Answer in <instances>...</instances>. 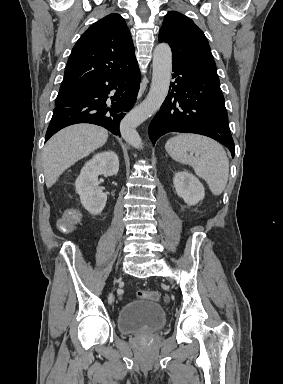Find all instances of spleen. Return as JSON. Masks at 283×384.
<instances>
[{
  "label": "spleen",
  "mask_w": 283,
  "mask_h": 384,
  "mask_svg": "<svg viewBox=\"0 0 283 384\" xmlns=\"http://www.w3.org/2000/svg\"><path fill=\"white\" fill-rule=\"evenodd\" d=\"M165 150L175 162L191 166L198 178L205 180L214 196L224 192L228 182L229 160L221 144L197 134H180L166 142ZM193 154H199L200 158Z\"/></svg>",
  "instance_id": "obj_1"
}]
</instances>
